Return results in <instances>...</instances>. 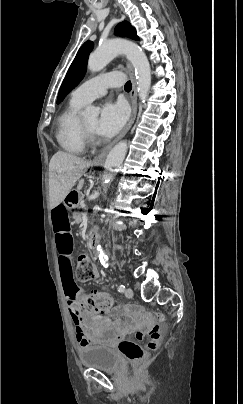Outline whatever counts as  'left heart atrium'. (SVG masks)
<instances>
[{
  "instance_id": "39dd6f15",
  "label": "left heart atrium",
  "mask_w": 243,
  "mask_h": 404,
  "mask_svg": "<svg viewBox=\"0 0 243 404\" xmlns=\"http://www.w3.org/2000/svg\"><path fill=\"white\" fill-rule=\"evenodd\" d=\"M125 120L126 111L124 106L119 102L107 100L101 108L95 132L103 138L112 137L122 128Z\"/></svg>"
}]
</instances>
